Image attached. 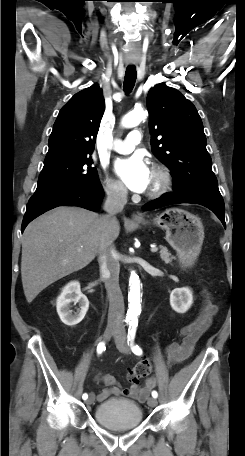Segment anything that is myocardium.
I'll return each mask as SVG.
<instances>
[{"mask_svg": "<svg viewBox=\"0 0 245 456\" xmlns=\"http://www.w3.org/2000/svg\"><path fill=\"white\" fill-rule=\"evenodd\" d=\"M151 171L158 177L155 186L148 188L146 195L150 198H157L165 194L172 185V174L168 167L163 164H153Z\"/></svg>", "mask_w": 245, "mask_h": 456, "instance_id": "f54148a6", "label": "myocardium"}]
</instances>
